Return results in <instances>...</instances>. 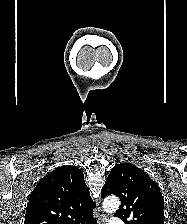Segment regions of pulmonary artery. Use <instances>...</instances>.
<instances>
[{"label": "pulmonary artery", "mask_w": 187, "mask_h": 224, "mask_svg": "<svg viewBox=\"0 0 187 224\" xmlns=\"http://www.w3.org/2000/svg\"><path fill=\"white\" fill-rule=\"evenodd\" d=\"M110 224H124L121 219H114Z\"/></svg>", "instance_id": "pulmonary-artery-1"}]
</instances>
